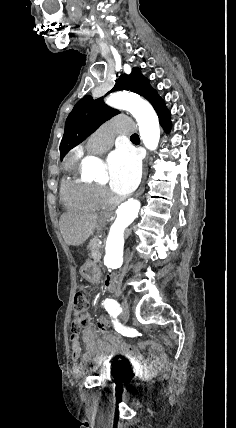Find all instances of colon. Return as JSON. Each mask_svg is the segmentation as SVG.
I'll return each instance as SVG.
<instances>
[{
	"label": "colon",
	"mask_w": 236,
	"mask_h": 428,
	"mask_svg": "<svg viewBox=\"0 0 236 428\" xmlns=\"http://www.w3.org/2000/svg\"><path fill=\"white\" fill-rule=\"evenodd\" d=\"M88 306V289L86 286L81 285L79 290L75 294L73 310H74V319L71 326V335H78L84 324V312ZM98 325L105 327L110 325V322L104 318L100 317L98 319ZM161 339L167 344L171 349L174 348V344L166 336H161Z\"/></svg>",
	"instance_id": "1"
}]
</instances>
